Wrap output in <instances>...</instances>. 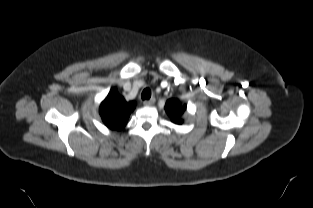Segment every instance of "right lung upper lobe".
I'll return each instance as SVG.
<instances>
[{
    "label": "right lung upper lobe",
    "mask_w": 313,
    "mask_h": 208,
    "mask_svg": "<svg viewBox=\"0 0 313 208\" xmlns=\"http://www.w3.org/2000/svg\"><path fill=\"white\" fill-rule=\"evenodd\" d=\"M136 102H127L115 88L111 89L101 103L99 114L103 123L111 130H121L127 124L130 113L135 109Z\"/></svg>",
    "instance_id": "1"
}]
</instances>
